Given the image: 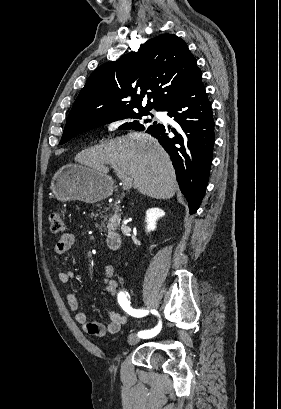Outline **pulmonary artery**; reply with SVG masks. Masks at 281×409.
Listing matches in <instances>:
<instances>
[{"mask_svg":"<svg viewBox=\"0 0 281 409\" xmlns=\"http://www.w3.org/2000/svg\"><path fill=\"white\" fill-rule=\"evenodd\" d=\"M155 115H156V117H161L162 116L161 113H157V112H155Z\"/></svg>","mask_w":281,"mask_h":409,"instance_id":"1","label":"pulmonary artery"}]
</instances>
